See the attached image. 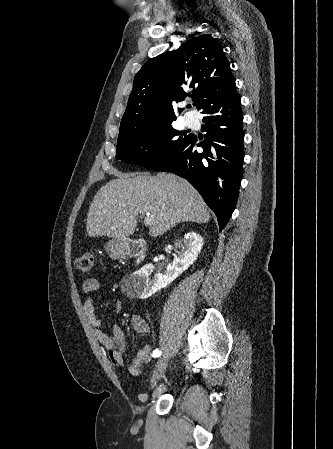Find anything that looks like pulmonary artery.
<instances>
[{
  "label": "pulmonary artery",
  "instance_id": "1",
  "mask_svg": "<svg viewBox=\"0 0 333 449\" xmlns=\"http://www.w3.org/2000/svg\"><path fill=\"white\" fill-rule=\"evenodd\" d=\"M185 123H186L187 126L193 127V126H195L197 124V120L193 116H191V115H186L185 116Z\"/></svg>",
  "mask_w": 333,
  "mask_h": 449
}]
</instances>
